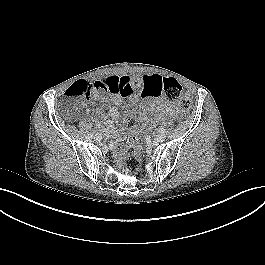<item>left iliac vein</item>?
Listing matches in <instances>:
<instances>
[{"mask_svg": "<svg viewBox=\"0 0 265 265\" xmlns=\"http://www.w3.org/2000/svg\"><path fill=\"white\" fill-rule=\"evenodd\" d=\"M166 139V135L164 133H159L157 136H156V141L158 142H164Z\"/></svg>", "mask_w": 265, "mask_h": 265, "instance_id": "obj_1", "label": "left iliac vein"}]
</instances>
